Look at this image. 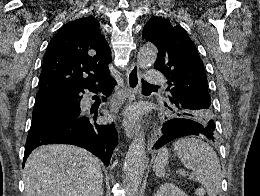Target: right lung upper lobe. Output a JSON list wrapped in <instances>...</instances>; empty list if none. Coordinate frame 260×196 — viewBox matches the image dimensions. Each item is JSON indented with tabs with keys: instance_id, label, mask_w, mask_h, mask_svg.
Instances as JSON below:
<instances>
[{
	"instance_id": "1",
	"label": "right lung upper lobe",
	"mask_w": 260,
	"mask_h": 196,
	"mask_svg": "<svg viewBox=\"0 0 260 196\" xmlns=\"http://www.w3.org/2000/svg\"><path fill=\"white\" fill-rule=\"evenodd\" d=\"M111 60L97 19L88 16L63 25L44 55L35 107L107 82Z\"/></svg>"
}]
</instances>
